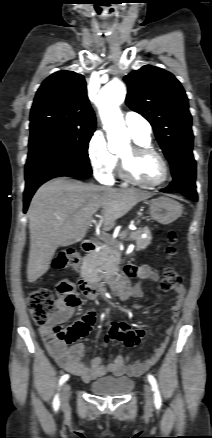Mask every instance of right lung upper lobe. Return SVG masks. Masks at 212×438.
<instances>
[{
  "label": "right lung upper lobe",
  "mask_w": 212,
  "mask_h": 438,
  "mask_svg": "<svg viewBox=\"0 0 212 438\" xmlns=\"http://www.w3.org/2000/svg\"><path fill=\"white\" fill-rule=\"evenodd\" d=\"M95 125L82 75L58 71L42 83L31 108V131L45 127L94 131Z\"/></svg>",
  "instance_id": "cb5924a9"
}]
</instances>
